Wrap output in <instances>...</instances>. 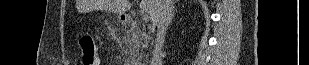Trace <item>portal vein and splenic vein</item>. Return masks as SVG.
Returning a JSON list of instances; mask_svg holds the SVG:
<instances>
[{
    "label": "portal vein and splenic vein",
    "instance_id": "portal-vein-and-splenic-vein-1",
    "mask_svg": "<svg viewBox=\"0 0 309 65\" xmlns=\"http://www.w3.org/2000/svg\"><path fill=\"white\" fill-rule=\"evenodd\" d=\"M142 20L147 23L149 21V16L147 14H144L142 15Z\"/></svg>",
    "mask_w": 309,
    "mask_h": 65
}]
</instances>
